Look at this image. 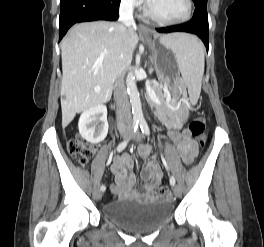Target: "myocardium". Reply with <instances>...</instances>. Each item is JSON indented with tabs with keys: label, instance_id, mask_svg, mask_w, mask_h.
<instances>
[{
	"label": "myocardium",
	"instance_id": "f54148a6",
	"mask_svg": "<svg viewBox=\"0 0 264 247\" xmlns=\"http://www.w3.org/2000/svg\"><path fill=\"white\" fill-rule=\"evenodd\" d=\"M185 2H186V7H187L186 13L183 17L178 18V19H174V20L163 19L155 14L151 6H149L148 8L147 14L153 21H155L156 23L160 25L174 26V25L184 24L188 22L192 18V15H193L192 0H185Z\"/></svg>",
	"mask_w": 264,
	"mask_h": 247
}]
</instances>
